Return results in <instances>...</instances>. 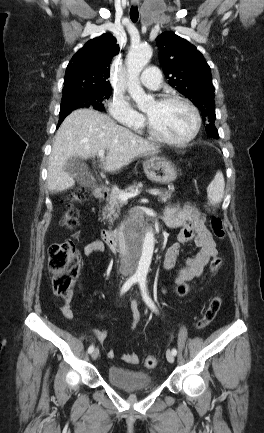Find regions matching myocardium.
I'll return each mask as SVG.
<instances>
[{"label": "myocardium", "instance_id": "myocardium-1", "mask_svg": "<svg viewBox=\"0 0 264 433\" xmlns=\"http://www.w3.org/2000/svg\"><path fill=\"white\" fill-rule=\"evenodd\" d=\"M157 103H159V104L180 103V104L185 105L193 114L194 126H193V129L188 136H186L185 138H183L181 140H174V139L168 138V137L164 136L163 134H161L154 127V125L151 123L148 116H146V120H145L146 127H147L148 133L150 134L151 137H153L154 139H156L159 142H162V143H165V144H168L171 146H175V147H184V146L188 145L190 142H192L197 137V135L200 131V128H201L202 118H201L199 110L197 109V107L192 102H190L188 99H186L184 97L177 96V95H171V96H165V97L158 99Z\"/></svg>", "mask_w": 264, "mask_h": 433}]
</instances>
